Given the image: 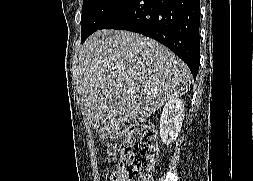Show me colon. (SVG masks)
<instances>
[{"mask_svg": "<svg viewBox=\"0 0 253 181\" xmlns=\"http://www.w3.org/2000/svg\"><path fill=\"white\" fill-rule=\"evenodd\" d=\"M118 136L123 138L122 160L118 170L108 176V181H149L158 155L153 125L137 120L112 127L107 132L109 138Z\"/></svg>", "mask_w": 253, "mask_h": 181, "instance_id": "colon-1", "label": "colon"}]
</instances>
